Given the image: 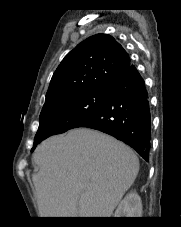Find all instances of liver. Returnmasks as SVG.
<instances>
[{
  "instance_id": "6515ba94",
  "label": "liver",
  "mask_w": 181,
  "mask_h": 227,
  "mask_svg": "<svg viewBox=\"0 0 181 227\" xmlns=\"http://www.w3.org/2000/svg\"><path fill=\"white\" fill-rule=\"evenodd\" d=\"M33 160L41 217H111L139 172L130 147L88 128L44 140Z\"/></svg>"
}]
</instances>
